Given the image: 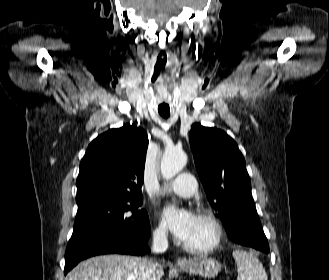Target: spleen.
<instances>
[{
  "label": "spleen",
  "instance_id": "obj_1",
  "mask_svg": "<svg viewBox=\"0 0 329 280\" xmlns=\"http://www.w3.org/2000/svg\"><path fill=\"white\" fill-rule=\"evenodd\" d=\"M237 264V280H268L265 269L259 259L246 251L234 250Z\"/></svg>",
  "mask_w": 329,
  "mask_h": 280
}]
</instances>
